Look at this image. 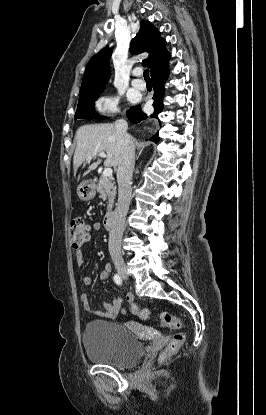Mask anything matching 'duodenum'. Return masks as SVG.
Instances as JSON below:
<instances>
[{"instance_id": "obj_1", "label": "duodenum", "mask_w": 266, "mask_h": 415, "mask_svg": "<svg viewBox=\"0 0 266 415\" xmlns=\"http://www.w3.org/2000/svg\"><path fill=\"white\" fill-rule=\"evenodd\" d=\"M115 216L114 213H107L103 220V225L107 230H111L114 227Z\"/></svg>"}]
</instances>
